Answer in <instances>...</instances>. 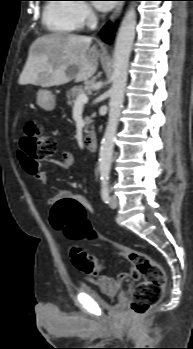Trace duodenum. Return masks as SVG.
Here are the masks:
<instances>
[{"instance_id": "obj_1", "label": "duodenum", "mask_w": 193, "mask_h": 349, "mask_svg": "<svg viewBox=\"0 0 193 349\" xmlns=\"http://www.w3.org/2000/svg\"><path fill=\"white\" fill-rule=\"evenodd\" d=\"M98 140L94 132H87L84 136V149L87 153L91 154L97 150Z\"/></svg>"}]
</instances>
